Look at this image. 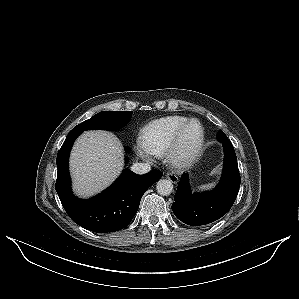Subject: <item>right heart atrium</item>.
Returning <instances> with one entry per match:
<instances>
[{"instance_id":"right-heart-atrium-1","label":"right heart atrium","mask_w":299,"mask_h":299,"mask_svg":"<svg viewBox=\"0 0 299 299\" xmlns=\"http://www.w3.org/2000/svg\"><path fill=\"white\" fill-rule=\"evenodd\" d=\"M136 151L142 158L147 160L152 159L150 152L146 149V147L143 144L141 143L137 144Z\"/></svg>"}]
</instances>
